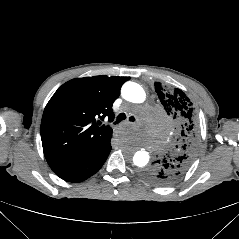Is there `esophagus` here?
<instances>
[{
    "instance_id": "1",
    "label": "esophagus",
    "mask_w": 239,
    "mask_h": 239,
    "mask_svg": "<svg viewBox=\"0 0 239 239\" xmlns=\"http://www.w3.org/2000/svg\"><path fill=\"white\" fill-rule=\"evenodd\" d=\"M112 136L114 138H120L122 136V131L120 129H114L112 131Z\"/></svg>"
}]
</instances>
